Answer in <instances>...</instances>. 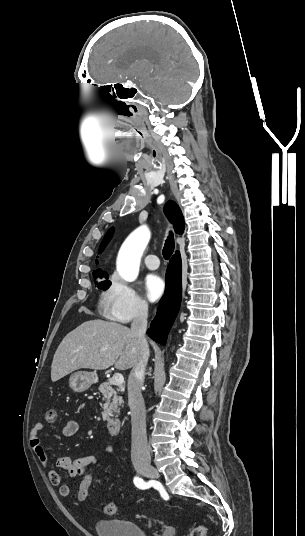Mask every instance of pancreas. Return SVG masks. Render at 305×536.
I'll return each mask as SVG.
<instances>
[{"label": "pancreas", "instance_id": "pancreas-1", "mask_svg": "<svg viewBox=\"0 0 305 536\" xmlns=\"http://www.w3.org/2000/svg\"><path fill=\"white\" fill-rule=\"evenodd\" d=\"M112 386H115V384H112V380H107V382H103V384H100L98 390L102 392L103 400L105 404H103V412L102 416L104 420H109V416H113V414H116L115 418H118L119 414V406L123 404L122 396H118L119 392H124V388L121 384V386H118V388H112Z\"/></svg>", "mask_w": 305, "mask_h": 536}]
</instances>
